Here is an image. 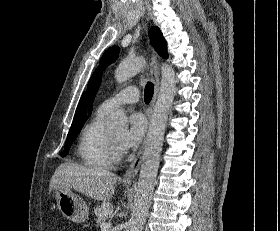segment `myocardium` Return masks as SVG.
<instances>
[{
	"label": "myocardium",
	"mask_w": 280,
	"mask_h": 231,
	"mask_svg": "<svg viewBox=\"0 0 280 231\" xmlns=\"http://www.w3.org/2000/svg\"><path fill=\"white\" fill-rule=\"evenodd\" d=\"M110 145H111V158L112 159H118L119 158V152L117 149L116 141L110 136Z\"/></svg>",
	"instance_id": "f54148a6"
}]
</instances>
